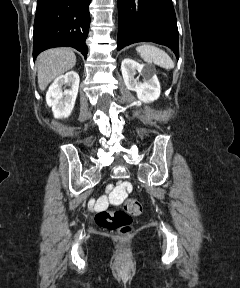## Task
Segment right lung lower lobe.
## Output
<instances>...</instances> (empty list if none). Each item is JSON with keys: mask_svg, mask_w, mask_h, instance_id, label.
Wrapping results in <instances>:
<instances>
[{"mask_svg": "<svg viewBox=\"0 0 240 288\" xmlns=\"http://www.w3.org/2000/svg\"><path fill=\"white\" fill-rule=\"evenodd\" d=\"M91 0H38L33 32V57L49 48L69 46L87 57L85 40Z\"/></svg>", "mask_w": 240, "mask_h": 288, "instance_id": "1", "label": "right lung lower lobe"}]
</instances>
